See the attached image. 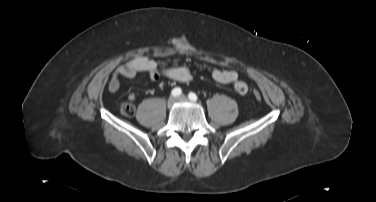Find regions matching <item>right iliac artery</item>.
Returning a JSON list of instances; mask_svg holds the SVG:
<instances>
[{"label": "right iliac artery", "mask_w": 376, "mask_h": 202, "mask_svg": "<svg viewBox=\"0 0 376 202\" xmlns=\"http://www.w3.org/2000/svg\"><path fill=\"white\" fill-rule=\"evenodd\" d=\"M181 93H182V90L179 87L174 88L171 92L173 97H177V96L181 95Z\"/></svg>", "instance_id": "right-iliac-artery-1"}]
</instances>
